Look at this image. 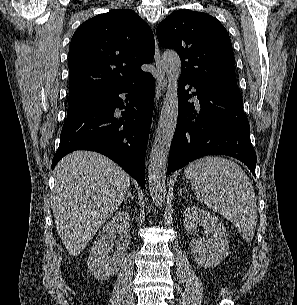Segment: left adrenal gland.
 <instances>
[{
	"label": "left adrenal gland",
	"mask_w": 297,
	"mask_h": 305,
	"mask_svg": "<svg viewBox=\"0 0 297 305\" xmlns=\"http://www.w3.org/2000/svg\"><path fill=\"white\" fill-rule=\"evenodd\" d=\"M182 191H185V190L180 188V196L182 195Z\"/></svg>",
	"instance_id": "1"
}]
</instances>
